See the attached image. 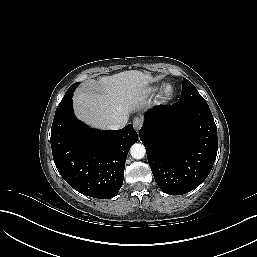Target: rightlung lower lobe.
<instances>
[{
    "mask_svg": "<svg viewBox=\"0 0 257 257\" xmlns=\"http://www.w3.org/2000/svg\"><path fill=\"white\" fill-rule=\"evenodd\" d=\"M137 140L132 124L120 130L89 129L76 119L72 101L56 109L53 159L64 180L83 195L109 199L119 192L128 151Z\"/></svg>",
    "mask_w": 257,
    "mask_h": 257,
    "instance_id": "right-lung-lower-lobe-1",
    "label": "right lung lower lobe"
}]
</instances>
